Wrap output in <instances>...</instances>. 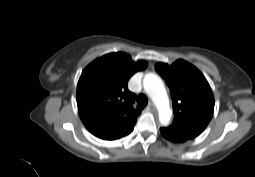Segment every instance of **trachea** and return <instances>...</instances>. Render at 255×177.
<instances>
[{"label":"trachea","mask_w":255,"mask_h":177,"mask_svg":"<svg viewBox=\"0 0 255 177\" xmlns=\"http://www.w3.org/2000/svg\"><path fill=\"white\" fill-rule=\"evenodd\" d=\"M137 103L142 106H146L148 104V99L144 94H140L137 97Z\"/></svg>","instance_id":"obj_1"}]
</instances>
